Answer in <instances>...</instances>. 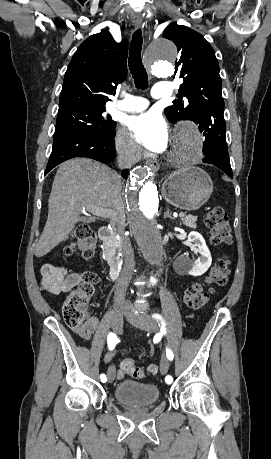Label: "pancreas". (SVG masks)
Masks as SVG:
<instances>
[{"instance_id":"1","label":"pancreas","mask_w":271,"mask_h":459,"mask_svg":"<svg viewBox=\"0 0 271 459\" xmlns=\"http://www.w3.org/2000/svg\"><path fill=\"white\" fill-rule=\"evenodd\" d=\"M185 216L184 217H180L182 222H184L185 226H188V228H196V220H197V216H186V214H184Z\"/></svg>"}]
</instances>
